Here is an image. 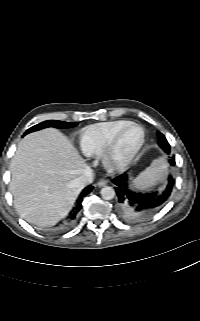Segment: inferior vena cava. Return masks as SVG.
Masks as SVG:
<instances>
[{"mask_svg":"<svg viewBox=\"0 0 200 321\" xmlns=\"http://www.w3.org/2000/svg\"><path fill=\"white\" fill-rule=\"evenodd\" d=\"M94 179V173L93 171L88 167L84 170V173L79 176L77 179H75V185L79 188H83L93 182Z\"/></svg>","mask_w":200,"mask_h":321,"instance_id":"1","label":"inferior vena cava"}]
</instances>
